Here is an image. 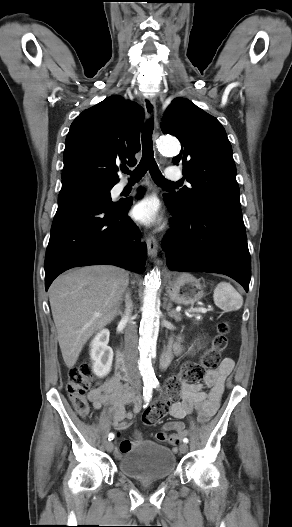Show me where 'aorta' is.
Returning a JSON list of instances; mask_svg holds the SVG:
<instances>
[{
	"instance_id": "1",
	"label": "aorta",
	"mask_w": 292,
	"mask_h": 527,
	"mask_svg": "<svg viewBox=\"0 0 292 527\" xmlns=\"http://www.w3.org/2000/svg\"><path fill=\"white\" fill-rule=\"evenodd\" d=\"M159 150L164 154H178L179 142L169 136L160 138ZM158 272L152 271L145 278V289L143 296L142 319L139 328V353L138 367L143 380L147 384L156 382V376L152 367V359L156 355V345L159 332V305L157 291L159 288Z\"/></svg>"
}]
</instances>
